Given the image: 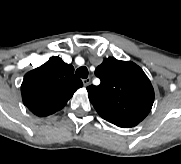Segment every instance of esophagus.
I'll return each mask as SVG.
<instances>
[{"mask_svg":"<svg viewBox=\"0 0 181 164\" xmlns=\"http://www.w3.org/2000/svg\"><path fill=\"white\" fill-rule=\"evenodd\" d=\"M90 82H91V79L89 77L83 79V84H84L85 87H87L90 84Z\"/></svg>","mask_w":181,"mask_h":164,"instance_id":"1","label":"esophagus"}]
</instances>
